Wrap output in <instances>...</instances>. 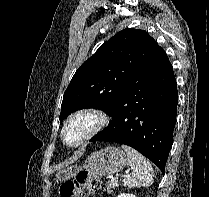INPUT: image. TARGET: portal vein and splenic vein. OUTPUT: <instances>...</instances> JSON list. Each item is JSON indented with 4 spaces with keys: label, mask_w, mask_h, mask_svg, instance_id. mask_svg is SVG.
I'll list each match as a JSON object with an SVG mask.
<instances>
[{
    "label": "portal vein and splenic vein",
    "mask_w": 209,
    "mask_h": 197,
    "mask_svg": "<svg viewBox=\"0 0 209 197\" xmlns=\"http://www.w3.org/2000/svg\"><path fill=\"white\" fill-rule=\"evenodd\" d=\"M118 182V177H114L111 179V183H117Z\"/></svg>",
    "instance_id": "1"
}]
</instances>
